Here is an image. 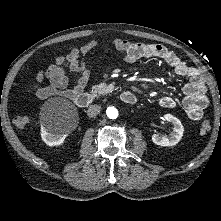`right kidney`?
Masks as SVG:
<instances>
[{
    "instance_id": "1",
    "label": "right kidney",
    "mask_w": 221,
    "mask_h": 221,
    "mask_svg": "<svg viewBox=\"0 0 221 221\" xmlns=\"http://www.w3.org/2000/svg\"><path fill=\"white\" fill-rule=\"evenodd\" d=\"M66 136V133H55L50 125H44L41 127V138L48 146L61 145Z\"/></svg>"
}]
</instances>
